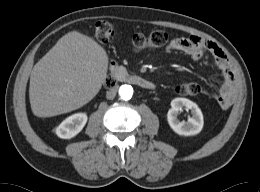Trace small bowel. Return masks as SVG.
<instances>
[{
    "instance_id": "obj_1",
    "label": "small bowel",
    "mask_w": 260,
    "mask_h": 192,
    "mask_svg": "<svg viewBox=\"0 0 260 192\" xmlns=\"http://www.w3.org/2000/svg\"><path fill=\"white\" fill-rule=\"evenodd\" d=\"M167 51L182 52L195 61L203 59L206 53L211 54L223 74V84L218 92H212L206 89H201L200 91L211 95L222 108H228L233 103L237 94L235 75L227 56L216 43L196 35L175 37L170 41Z\"/></svg>"
}]
</instances>
